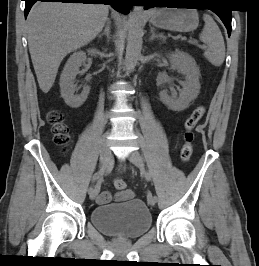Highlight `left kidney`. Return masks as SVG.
Listing matches in <instances>:
<instances>
[{"label": "left kidney", "instance_id": "1", "mask_svg": "<svg viewBox=\"0 0 259 266\" xmlns=\"http://www.w3.org/2000/svg\"><path fill=\"white\" fill-rule=\"evenodd\" d=\"M172 69L178 70L185 75L183 88L179 96L163 90L160 92V100L173 111H182L189 107L190 103L197 98L200 92L199 67L194 58L188 53L176 50L168 56Z\"/></svg>", "mask_w": 259, "mask_h": 266}]
</instances>
